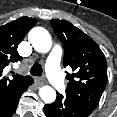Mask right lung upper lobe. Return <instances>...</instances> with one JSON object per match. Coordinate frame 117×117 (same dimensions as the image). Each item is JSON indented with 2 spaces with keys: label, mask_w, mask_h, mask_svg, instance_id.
Returning a JSON list of instances; mask_svg holds the SVG:
<instances>
[{
  "label": "right lung upper lobe",
  "mask_w": 117,
  "mask_h": 117,
  "mask_svg": "<svg viewBox=\"0 0 117 117\" xmlns=\"http://www.w3.org/2000/svg\"><path fill=\"white\" fill-rule=\"evenodd\" d=\"M35 18L21 17L0 26V111L17 97L32 80L29 76L13 75V79L3 76V69L10 62L21 61L17 52L18 44L35 25Z\"/></svg>",
  "instance_id": "1"
}]
</instances>
